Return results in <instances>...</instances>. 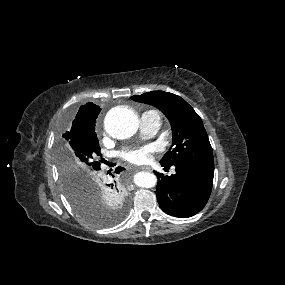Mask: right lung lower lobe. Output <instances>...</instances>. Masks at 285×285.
Returning a JSON list of instances; mask_svg holds the SVG:
<instances>
[{
    "label": "right lung lower lobe",
    "instance_id": "1",
    "mask_svg": "<svg viewBox=\"0 0 285 285\" xmlns=\"http://www.w3.org/2000/svg\"><path fill=\"white\" fill-rule=\"evenodd\" d=\"M122 170H123V168H121V167H117V168H116V173H119V172H120V171H122ZM113 177H114V175H113ZM114 182H115V181H114ZM107 186H109V187H111V188H112V187H113L112 182H111V183H108V184H107Z\"/></svg>",
    "mask_w": 285,
    "mask_h": 285
}]
</instances>
